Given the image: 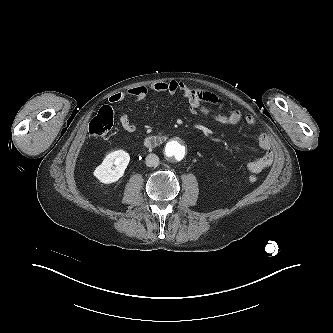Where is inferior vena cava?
I'll return each mask as SVG.
<instances>
[{
	"label": "inferior vena cava",
	"mask_w": 333,
	"mask_h": 333,
	"mask_svg": "<svg viewBox=\"0 0 333 333\" xmlns=\"http://www.w3.org/2000/svg\"><path fill=\"white\" fill-rule=\"evenodd\" d=\"M159 163V157L156 154H149L146 157V165L148 167H153L158 165Z\"/></svg>",
	"instance_id": "1"
}]
</instances>
